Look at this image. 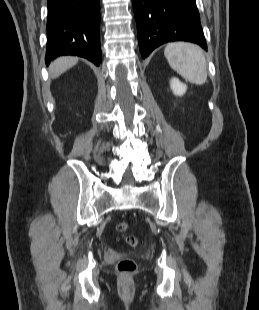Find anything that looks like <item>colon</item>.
<instances>
[{
  "label": "colon",
  "mask_w": 259,
  "mask_h": 310,
  "mask_svg": "<svg viewBox=\"0 0 259 310\" xmlns=\"http://www.w3.org/2000/svg\"><path fill=\"white\" fill-rule=\"evenodd\" d=\"M129 225L125 222L117 224L116 229L120 233H124L128 230ZM124 241L131 247H137L140 242L134 235H123ZM136 262L130 258H124L118 261L117 270L121 273H133L136 270Z\"/></svg>",
  "instance_id": "obj_1"
}]
</instances>
